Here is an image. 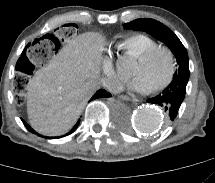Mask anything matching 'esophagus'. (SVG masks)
I'll list each match as a JSON object with an SVG mask.
<instances>
[{"mask_svg":"<svg viewBox=\"0 0 215 183\" xmlns=\"http://www.w3.org/2000/svg\"><path fill=\"white\" fill-rule=\"evenodd\" d=\"M119 99L124 100V101H130L131 98L127 95L121 94L118 96Z\"/></svg>","mask_w":215,"mask_h":183,"instance_id":"esophagus-1","label":"esophagus"}]
</instances>
